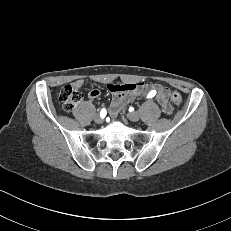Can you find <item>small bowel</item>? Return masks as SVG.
I'll use <instances>...</instances> for the list:
<instances>
[{"mask_svg": "<svg viewBox=\"0 0 231 231\" xmlns=\"http://www.w3.org/2000/svg\"><path fill=\"white\" fill-rule=\"evenodd\" d=\"M84 85L83 79H77L73 82V86L80 88ZM144 87L143 83L127 82L124 84H109L108 89L113 94V101L111 103L109 113L111 116H116L124 104L129 102L134 95L138 94ZM151 92L153 89L157 90V102L161 109L166 114L172 113V106L168 101V90L160 84H151L148 87ZM100 91L98 89H92L89 92V97L91 99H96L100 96Z\"/></svg>", "mask_w": 231, "mask_h": 231, "instance_id": "obj_1", "label": "small bowel"}]
</instances>
